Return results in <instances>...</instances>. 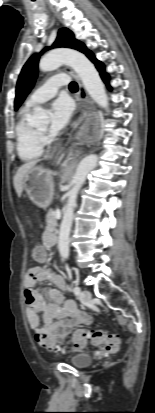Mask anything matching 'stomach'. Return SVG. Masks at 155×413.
<instances>
[{
    "label": "stomach",
    "mask_w": 155,
    "mask_h": 413,
    "mask_svg": "<svg viewBox=\"0 0 155 413\" xmlns=\"http://www.w3.org/2000/svg\"><path fill=\"white\" fill-rule=\"evenodd\" d=\"M23 190L33 203L46 209L54 195L53 172L40 166L31 168L24 177Z\"/></svg>",
    "instance_id": "0dacf381"
}]
</instances>
